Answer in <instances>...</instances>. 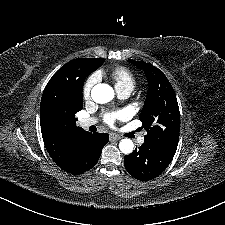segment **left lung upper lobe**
<instances>
[{
  "label": "left lung upper lobe",
  "mask_w": 225,
  "mask_h": 225,
  "mask_svg": "<svg viewBox=\"0 0 225 225\" xmlns=\"http://www.w3.org/2000/svg\"><path fill=\"white\" fill-rule=\"evenodd\" d=\"M129 62L143 69L148 79L149 89L140 114L142 126L147 131L145 142L177 149L180 113L176 94L169 80L162 71L149 63L135 60Z\"/></svg>",
  "instance_id": "1"
}]
</instances>
